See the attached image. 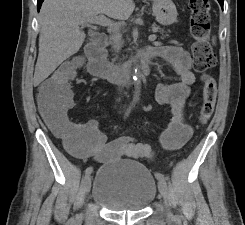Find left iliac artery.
<instances>
[{
    "label": "left iliac artery",
    "instance_id": "obj_1",
    "mask_svg": "<svg viewBox=\"0 0 245 225\" xmlns=\"http://www.w3.org/2000/svg\"><path fill=\"white\" fill-rule=\"evenodd\" d=\"M156 178L160 181V180H167V177L164 176L163 174L157 173L156 174Z\"/></svg>",
    "mask_w": 245,
    "mask_h": 225
}]
</instances>
